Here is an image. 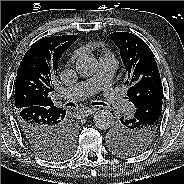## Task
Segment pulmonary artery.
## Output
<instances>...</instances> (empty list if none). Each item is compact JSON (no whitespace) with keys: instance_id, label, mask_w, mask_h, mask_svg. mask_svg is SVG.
I'll return each mask as SVG.
<instances>
[{"instance_id":"obj_1","label":"pulmonary artery","mask_w":184,"mask_h":184,"mask_svg":"<svg viewBox=\"0 0 184 184\" xmlns=\"http://www.w3.org/2000/svg\"><path fill=\"white\" fill-rule=\"evenodd\" d=\"M116 68L117 60L113 55L102 56L99 60V69L93 77L62 89L59 95L66 99L76 101L91 96L101 90L103 99L115 113L129 114L132 111L131 103L124 99L111 86Z\"/></svg>"}]
</instances>
